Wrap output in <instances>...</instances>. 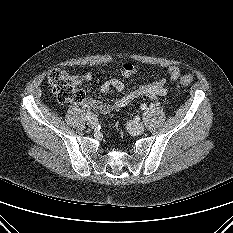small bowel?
Masks as SVG:
<instances>
[{
	"instance_id": "1",
	"label": "small bowel",
	"mask_w": 233,
	"mask_h": 233,
	"mask_svg": "<svg viewBox=\"0 0 233 233\" xmlns=\"http://www.w3.org/2000/svg\"><path fill=\"white\" fill-rule=\"evenodd\" d=\"M138 72V67L131 63L126 62L123 65L121 75L124 78H128ZM168 77L171 80H177L181 75V70L178 66H169L167 68ZM92 79V73L86 72L84 74L76 76L77 83H83ZM111 89H115L121 96L113 103H104L95 98H87L83 101V105L87 108L99 110L103 113H109L115 108H123L127 106L133 100L140 97H148L152 100H156L167 93L166 79L161 78L150 83L141 84L132 89L130 92H125L124 83L117 78L110 79L101 85V92L108 93Z\"/></svg>"
}]
</instances>
